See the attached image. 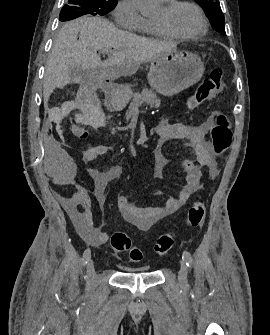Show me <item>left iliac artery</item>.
Segmentation results:
<instances>
[{
	"label": "left iliac artery",
	"mask_w": 270,
	"mask_h": 335,
	"mask_svg": "<svg viewBox=\"0 0 270 335\" xmlns=\"http://www.w3.org/2000/svg\"><path fill=\"white\" fill-rule=\"evenodd\" d=\"M182 258L185 261L188 268L192 266L193 258L188 251H183Z\"/></svg>",
	"instance_id": "44dca946"
}]
</instances>
